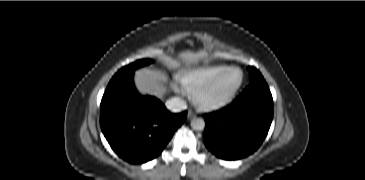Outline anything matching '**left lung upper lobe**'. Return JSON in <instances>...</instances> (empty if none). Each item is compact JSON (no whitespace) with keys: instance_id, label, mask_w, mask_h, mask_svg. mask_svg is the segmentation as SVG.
Instances as JSON below:
<instances>
[{"instance_id":"5c2ea615","label":"left lung upper lobe","mask_w":365,"mask_h":180,"mask_svg":"<svg viewBox=\"0 0 365 180\" xmlns=\"http://www.w3.org/2000/svg\"><path fill=\"white\" fill-rule=\"evenodd\" d=\"M248 70H249L251 83L264 79L263 76L261 75V73L256 68L249 66Z\"/></svg>"}]
</instances>
